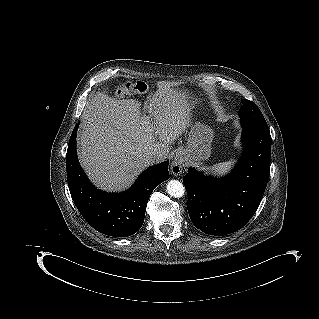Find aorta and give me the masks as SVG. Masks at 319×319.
Segmentation results:
<instances>
[{"instance_id": "762f6f07", "label": "aorta", "mask_w": 319, "mask_h": 319, "mask_svg": "<svg viewBox=\"0 0 319 319\" xmlns=\"http://www.w3.org/2000/svg\"><path fill=\"white\" fill-rule=\"evenodd\" d=\"M167 193L171 197L180 198L185 193L184 185L178 180H171L167 184Z\"/></svg>"}]
</instances>
